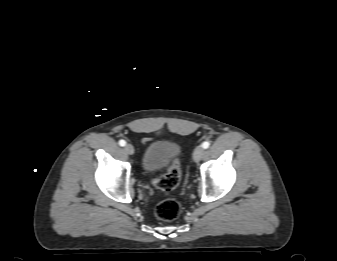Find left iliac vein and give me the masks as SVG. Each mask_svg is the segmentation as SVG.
<instances>
[{
    "instance_id": "obj_1",
    "label": "left iliac vein",
    "mask_w": 337,
    "mask_h": 261,
    "mask_svg": "<svg viewBox=\"0 0 337 261\" xmlns=\"http://www.w3.org/2000/svg\"><path fill=\"white\" fill-rule=\"evenodd\" d=\"M204 149L202 146H197L193 152V159L195 162H198L201 160V158L204 155Z\"/></svg>"
}]
</instances>
